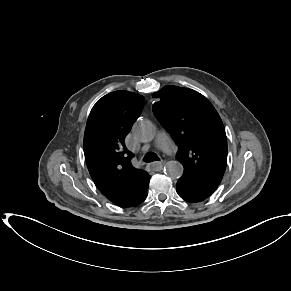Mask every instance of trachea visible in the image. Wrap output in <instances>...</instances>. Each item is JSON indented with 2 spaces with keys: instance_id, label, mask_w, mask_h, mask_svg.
Instances as JSON below:
<instances>
[{
  "instance_id": "1",
  "label": "trachea",
  "mask_w": 291,
  "mask_h": 291,
  "mask_svg": "<svg viewBox=\"0 0 291 291\" xmlns=\"http://www.w3.org/2000/svg\"><path fill=\"white\" fill-rule=\"evenodd\" d=\"M144 162L150 163L153 161H159L160 158L153 152L148 153L145 157H144Z\"/></svg>"
}]
</instances>
